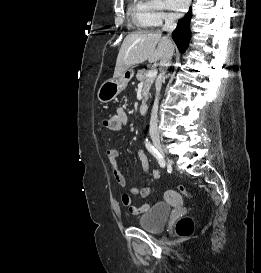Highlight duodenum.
Here are the masks:
<instances>
[{
    "instance_id": "duodenum-1",
    "label": "duodenum",
    "mask_w": 261,
    "mask_h": 273,
    "mask_svg": "<svg viewBox=\"0 0 261 273\" xmlns=\"http://www.w3.org/2000/svg\"><path fill=\"white\" fill-rule=\"evenodd\" d=\"M139 111L141 114H148L149 112V104L144 102L140 105Z\"/></svg>"
}]
</instances>
